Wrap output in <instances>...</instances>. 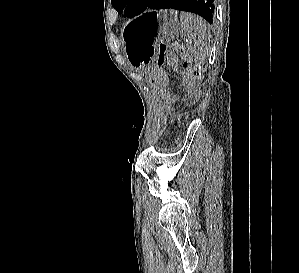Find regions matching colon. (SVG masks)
<instances>
[{"label":"colon","instance_id":"obj_1","mask_svg":"<svg viewBox=\"0 0 299 273\" xmlns=\"http://www.w3.org/2000/svg\"><path fill=\"white\" fill-rule=\"evenodd\" d=\"M183 53V48L178 44H168L160 42L157 52V63L166 64L174 70H178L180 62L178 55ZM185 81L190 85L196 83L202 78L201 67L193 60H186L182 64ZM195 96L199 95V91H194Z\"/></svg>","mask_w":299,"mask_h":273}]
</instances>
